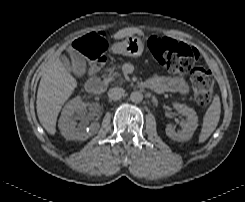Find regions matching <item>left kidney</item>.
<instances>
[{
  "label": "left kidney",
  "mask_w": 245,
  "mask_h": 202,
  "mask_svg": "<svg viewBox=\"0 0 245 202\" xmlns=\"http://www.w3.org/2000/svg\"><path fill=\"white\" fill-rule=\"evenodd\" d=\"M174 108L181 114L188 117L187 122L181 123V131L175 132L171 125H167L166 135L175 141H188L192 138L194 131L198 126V116L196 112L184 104L175 103Z\"/></svg>",
  "instance_id": "1"
}]
</instances>
